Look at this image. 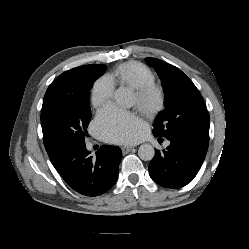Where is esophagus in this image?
<instances>
[{"instance_id":"1","label":"esophagus","mask_w":249,"mask_h":249,"mask_svg":"<svg viewBox=\"0 0 249 249\" xmlns=\"http://www.w3.org/2000/svg\"><path fill=\"white\" fill-rule=\"evenodd\" d=\"M133 148H134V147H132V146H122V147H121V150H122V152H123L124 154H127V153H129Z\"/></svg>"}]
</instances>
